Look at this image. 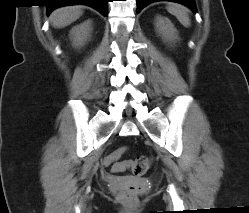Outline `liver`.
Instances as JSON below:
<instances>
[{"instance_id":"obj_1","label":"liver","mask_w":249,"mask_h":213,"mask_svg":"<svg viewBox=\"0 0 249 213\" xmlns=\"http://www.w3.org/2000/svg\"><path fill=\"white\" fill-rule=\"evenodd\" d=\"M83 14L81 6H68L55 9L49 19L53 27L62 28L75 22Z\"/></svg>"}]
</instances>
